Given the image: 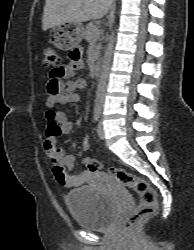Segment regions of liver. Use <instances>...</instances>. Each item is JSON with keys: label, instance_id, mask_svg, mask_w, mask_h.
Masks as SVG:
<instances>
[{"label": "liver", "instance_id": "liver-1", "mask_svg": "<svg viewBox=\"0 0 194 250\" xmlns=\"http://www.w3.org/2000/svg\"><path fill=\"white\" fill-rule=\"evenodd\" d=\"M111 4L112 0H46L42 29L100 19L108 13Z\"/></svg>", "mask_w": 194, "mask_h": 250}]
</instances>
